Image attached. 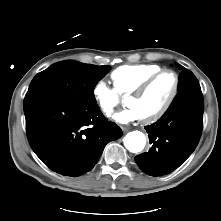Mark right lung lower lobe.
<instances>
[{"instance_id": "1", "label": "right lung lower lobe", "mask_w": 221, "mask_h": 221, "mask_svg": "<svg viewBox=\"0 0 221 221\" xmlns=\"http://www.w3.org/2000/svg\"><path fill=\"white\" fill-rule=\"evenodd\" d=\"M24 113L31 148L45 165L65 176L90 171L106 144L122 136L98 105L40 96L24 99Z\"/></svg>"}]
</instances>
